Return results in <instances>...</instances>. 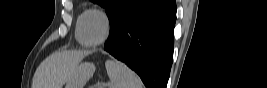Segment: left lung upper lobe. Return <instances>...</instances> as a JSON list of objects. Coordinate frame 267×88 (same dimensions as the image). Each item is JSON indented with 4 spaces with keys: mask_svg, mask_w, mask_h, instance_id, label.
I'll return each mask as SVG.
<instances>
[{
    "mask_svg": "<svg viewBox=\"0 0 267 88\" xmlns=\"http://www.w3.org/2000/svg\"><path fill=\"white\" fill-rule=\"evenodd\" d=\"M105 8L110 26L114 24L122 11L132 0H91Z\"/></svg>",
    "mask_w": 267,
    "mask_h": 88,
    "instance_id": "5c2ea615",
    "label": "left lung upper lobe"
}]
</instances>
